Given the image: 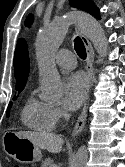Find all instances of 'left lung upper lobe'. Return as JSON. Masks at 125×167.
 <instances>
[{
    "label": "left lung upper lobe",
    "mask_w": 125,
    "mask_h": 167,
    "mask_svg": "<svg viewBox=\"0 0 125 167\" xmlns=\"http://www.w3.org/2000/svg\"><path fill=\"white\" fill-rule=\"evenodd\" d=\"M69 4L78 9H82L87 11L88 13L94 15L95 17H99V11L97 7L93 4L92 0H69ZM33 20V16L29 15L25 21L26 26H30Z\"/></svg>",
    "instance_id": "left-lung-upper-lobe-1"
}]
</instances>
